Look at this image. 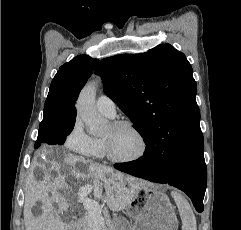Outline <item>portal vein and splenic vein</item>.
Listing matches in <instances>:
<instances>
[{
  "label": "portal vein and splenic vein",
  "mask_w": 241,
  "mask_h": 230,
  "mask_svg": "<svg viewBox=\"0 0 241 230\" xmlns=\"http://www.w3.org/2000/svg\"><path fill=\"white\" fill-rule=\"evenodd\" d=\"M90 191H91L90 187H86V188L82 189V191H80L78 193L79 202L83 203L84 209L87 210V212L89 214V222L91 224L95 225L96 227L100 228L105 225V221L101 214L99 204L96 201L89 199L87 197V194Z\"/></svg>",
  "instance_id": "obj_1"
}]
</instances>
